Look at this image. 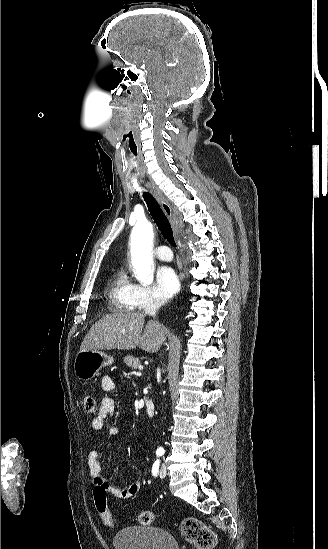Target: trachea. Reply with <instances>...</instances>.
<instances>
[{
  "label": "trachea",
  "mask_w": 328,
  "mask_h": 549,
  "mask_svg": "<svg viewBox=\"0 0 328 549\" xmlns=\"http://www.w3.org/2000/svg\"><path fill=\"white\" fill-rule=\"evenodd\" d=\"M143 198L147 204L150 215L152 216L163 237L168 240V242H170L173 247H176L172 227L162 208L156 202L153 195H151L149 192H144Z\"/></svg>",
  "instance_id": "1"
}]
</instances>
